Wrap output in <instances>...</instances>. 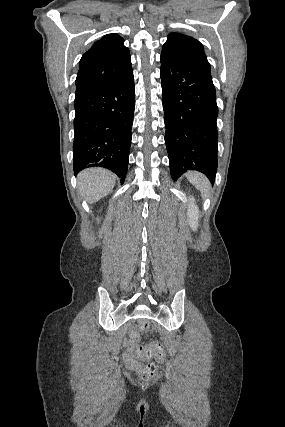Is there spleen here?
<instances>
[{
    "mask_svg": "<svg viewBox=\"0 0 285 427\" xmlns=\"http://www.w3.org/2000/svg\"><path fill=\"white\" fill-rule=\"evenodd\" d=\"M186 177L189 182L201 192L202 196H208L210 190V182L208 181L206 176L199 172H188L186 174Z\"/></svg>",
    "mask_w": 285,
    "mask_h": 427,
    "instance_id": "obj_1",
    "label": "spleen"
}]
</instances>
